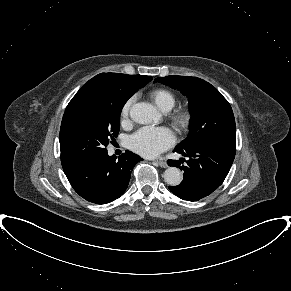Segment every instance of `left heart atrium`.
<instances>
[{
    "label": "left heart atrium",
    "instance_id": "obj_1",
    "mask_svg": "<svg viewBox=\"0 0 291 291\" xmlns=\"http://www.w3.org/2000/svg\"><path fill=\"white\" fill-rule=\"evenodd\" d=\"M173 143L174 135L170 129L153 126L140 128L128 140L129 148L145 157H155Z\"/></svg>",
    "mask_w": 291,
    "mask_h": 291
}]
</instances>
